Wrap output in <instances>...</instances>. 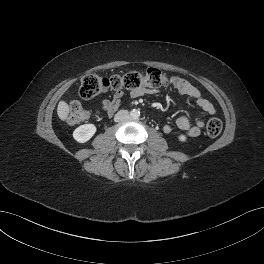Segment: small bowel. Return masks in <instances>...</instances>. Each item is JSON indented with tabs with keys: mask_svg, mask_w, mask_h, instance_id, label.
I'll use <instances>...</instances> for the list:
<instances>
[{
	"mask_svg": "<svg viewBox=\"0 0 264 264\" xmlns=\"http://www.w3.org/2000/svg\"><path fill=\"white\" fill-rule=\"evenodd\" d=\"M171 83L179 93L195 99L197 105L201 109V113L195 118L194 123H192L187 116H181L176 121L177 127L182 130L187 137H197L200 134L201 129L204 127V116L214 115L216 110L213 104L201 93V91L187 80L174 76L171 78ZM146 93L147 91L145 89H141L132 91L131 96L139 97ZM123 96L124 93L122 91H116L111 99L102 100L101 106L107 115L111 116L117 111ZM163 131L166 134L170 133L172 131V126L168 123L164 124Z\"/></svg>",
	"mask_w": 264,
	"mask_h": 264,
	"instance_id": "c3829d8e",
	"label": "small bowel"
}]
</instances>
